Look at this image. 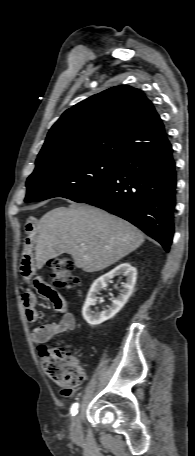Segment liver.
Returning <instances> with one entry per match:
<instances>
[{
	"instance_id": "1",
	"label": "liver",
	"mask_w": 195,
	"mask_h": 456,
	"mask_svg": "<svg viewBox=\"0 0 195 456\" xmlns=\"http://www.w3.org/2000/svg\"><path fill=\"white\" fill-rule=\"evenodd\" d=\"M37 229L38 269L48 260L68 253L77 268L88 273L101 271L144 242L142 232L134 225L89 205L55 208L40 219Z\"/></svg>"
}]
</instances>
